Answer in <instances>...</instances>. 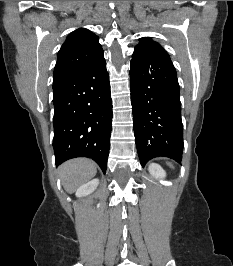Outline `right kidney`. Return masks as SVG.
Listing matches in <instances>:
<instances>
[{"instance_id": "right-kidney-1", "label": "right kidney", "mask_w": 233, "mask_h": 266, "mask_svg": "<svg viewBox=\"0 0 233 266\" xmlns=\"http://www.w3.org/2000/svg\"><path fill=\"white\" fill-rule=\"evenodd\" d=\"M99 180L98 179H93L82 186H80L77 191H76V196L77 197H83L91 194L98 186Z\"/></svg>"}]
</instances>
